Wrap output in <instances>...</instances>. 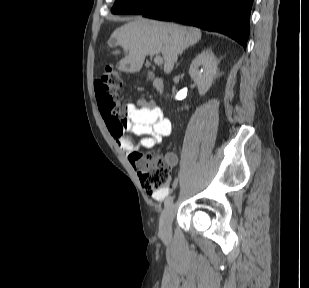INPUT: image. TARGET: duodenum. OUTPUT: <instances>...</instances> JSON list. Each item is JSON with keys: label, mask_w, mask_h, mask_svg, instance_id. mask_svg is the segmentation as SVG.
I'll list each match as a JSON object with an SVG mask.
<instances>
[{"label": "duodenum", "mask_w": 309, "mask_h": 288, "mask_svg": "<svg viewBox=\"0 0 309 288\" xmlns=\"http://www.w3.org/2000/svg\"><path fill=\"white\" fill-rule=\"evenodd\" d=\"M153 84H154V87L156 88V90L159 92V93H162L163 90H164V84H163V81L160 79V78H155L154 81H153Z\"/></svg>", "instance_id": "410a0bca"}]
</instances>
